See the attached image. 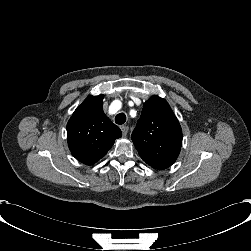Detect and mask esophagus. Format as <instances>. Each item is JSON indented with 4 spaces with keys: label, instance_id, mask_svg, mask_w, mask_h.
I'll use <instances>...</instances> for the list:
<instances>
[{
    "label": "esophagus",
    "instance_id": "34e87169",
    "mask_svg": "<svg viewBox=\"0 0 251 251\" xmlns=\"http://www.w3.org/2000/svg\"><path fill=\"white\" fill-rule=\"evenodd\" d=\"M120 129H121V131H122L123 136H126L127 133H128L129 127H128L127 125H122V126L120 127Z\"/></svg>",
    "mask_w": 251,
    "mask_h": 251
}]
</instances>
